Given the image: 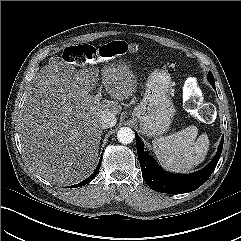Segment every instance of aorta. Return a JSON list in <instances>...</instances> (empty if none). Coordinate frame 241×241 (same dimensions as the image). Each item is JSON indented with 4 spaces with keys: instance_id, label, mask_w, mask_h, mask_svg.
<instances>
[{
    "instance_id": "762f6f07",
    "label": "aorta",
    "mask_w": 241,
    "mask_h": 241,
    "mask_svg": "<svg viewBox=\"0 0 241 241\" xmlns=\"http://www.w3.org/2000/svg\"><path fill=\"white\" fill-rule=\"evenodd\" d=\"M134 132L129 127H122L117 133V139L122 144H129L134 140Z\"/></svg>"
}]
</instances>
